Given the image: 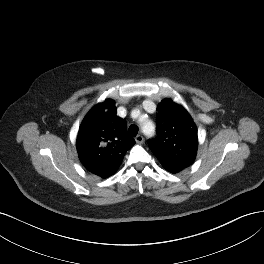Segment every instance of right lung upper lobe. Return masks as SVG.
Wrapping results in <instances>:
<instances>
[{"instance_id":"right-lung-upper-lobe-1","label":"right lung upper lobe","mask_w":264,"mask_h":264,"mask_svg":"<svg viewBox=\"0 0 264 264\" xmlns=\"http://www.w3.org/2000/svg\"><path fill=\"white\" fill-rule=\"evenodd\" d=\"M125 121L116 115L114 101L97 104L84 118L76 146L85 168L102 178L113 175L125 153L134 145Z\"/></svg>"}]
</instances>
